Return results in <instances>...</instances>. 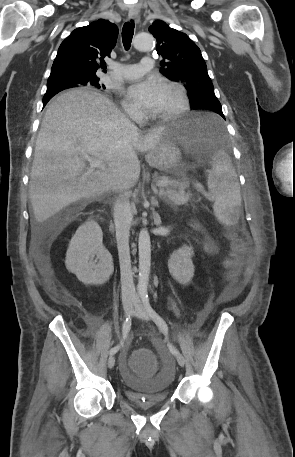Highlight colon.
Wrapping results in <instances>:
<instances>
[{"mask_svg": "<svg viewBox=\"0 0 295 457\" xmlns=\"http://www.w3.org/2000/svg\"><path fill=\"white\" fill-rule=\"evenodd\" d=\"M230 238V256L225 262L229 277H234L245 258L249 247V236L245 232L232 233ZM131 359L133 360L134 372H157V363L155 358L152 357L151 346H134L131 352Z\"/></svg>", "mask_w": 295, "mask_h": 457, "instance_id": "colon-1", "label": "colon"}]
</instances>
